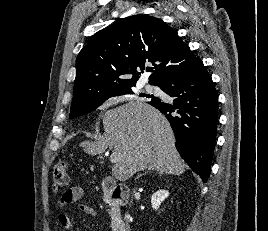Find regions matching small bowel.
I'll list each match as a JSON object with an SVG mask.
<instances>
[{
  "mask_svg": "<svg viewBox=\"0 0 268 231\" xmlns=\"http://www.w3.org/2000/svg\"><path fill=\"white\" fill-rule=\"evenodd\" d=\"M85 196L84 190L80 186H73L67 189L59 200V204L61 207L68 208L74 206L75 209L88 214L92 217L97 216V210L90 205L88 202L86 203H78ZM57 222L60 228L63 231H68L72 228V219L67 213H60L57 216Z\"/></svg>",
  "mask_w": 268,
  "mask_h": 231,
  "instance_id": "c3829d8e",
  "label": "small bowel"
}]
</instances>
